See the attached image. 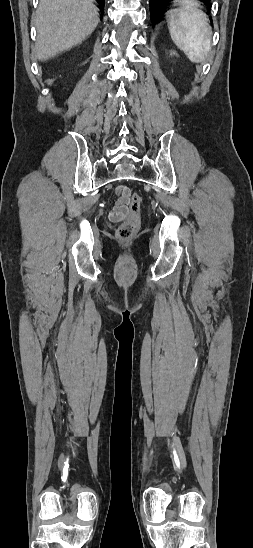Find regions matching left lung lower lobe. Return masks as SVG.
<instances>
[{"mask_svg": "<svg viewBox=\"0 0 253 548\" xmlns=\"http://www.w3.org/2000/svg\"><path fill=\"white\" fill-rule=\"evenodd\" d=\"M172 0H150V12L151 19L155 24L157 22L158 16L163 12L165 5ZM203 2L208 9L211 8V0H199Z\"/></svg>", "mask_w": 253, "mask_h": 548, "instance_id": "left-lung-lower-lobe-1", "label": "left lung lower lobe"}]
</instances>
